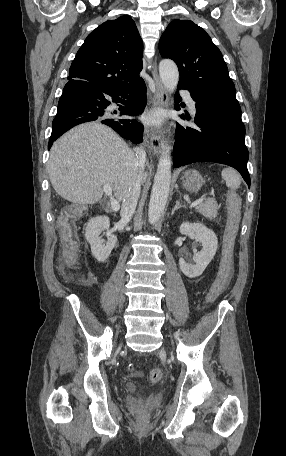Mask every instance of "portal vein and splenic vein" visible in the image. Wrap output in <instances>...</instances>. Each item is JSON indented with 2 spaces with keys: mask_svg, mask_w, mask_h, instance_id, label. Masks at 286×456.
Listing matches in <instances>:
<instances>
[{
  "mask_svg": "<svg viewBox=\"0 0 286 456\" xmlns=\"http://www.w3.org/2000/svg\"><path fill=\"white\" fill-rule=\"evenodd\" d=\"M103 191L104 193L110 197V201H111V207L114 211H117L119 209V202L117 200H115L113 197H112V187L109 185V184H105L103 186ZM205 200V198H200V199H197L195 200L194 202H192L190 204L191 207H195L199 204H201L203 201Z\"/></svg>",
  "mask_w": 286,
  "mask_h": 456,
  "instance_id": "portal-vein-and-splenic-vein-1",
  "label": "portal vein and splenic vein"
}]
</instances>
